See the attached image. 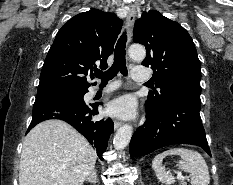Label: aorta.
<instances>
[{"label": "aorta", "mask_w": 233, "mask_h": 185, "mask_svg": "<svg viewBox=\"0 0 233 185\" xmlns=\"http://www.w3.org/2000/svg\"><path fill=\"white\" fill-rule=\"evenodd\" d=\"M129 57L135 61H141L146 56V50L141 45H131L128 50ZM133 128L129 124L123 125L118 129L114 136L113 145L116 150H123L130 142Z\"/></svg>", "instance_id": "762f6f07"}]
</instances>
